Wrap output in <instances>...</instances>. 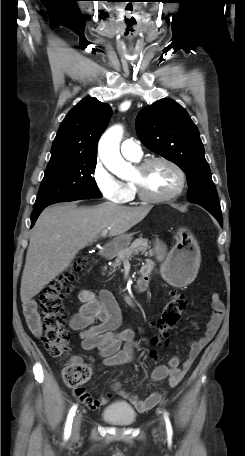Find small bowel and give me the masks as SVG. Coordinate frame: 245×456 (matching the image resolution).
Listing matches in <instances>:
<instances>
[{
	"mask_svg": "<svg viewBox=\"0 0 245 456\" xmlns=\"http://www.w3.org/2000/svg\"><path fill=\"white\" fill-rule=\"evenodd\" d=\"M153 269L149 261L143 269L147 276ZM81 302L79 310L71 317L70 327L79 331V338L85 350H96L103 359L104 366L123 365L130 363L134 358L135 331L124 329L117 331L121 324V311L112 293L106 289L98 294L89 289H82L78 293ZM213 312L207 323L204 334L190 341V351L185 361L180 365V359L173 356L168 365H159L152 372V380L168 379L170 387H176L191 368L197 356L210 342L221 325L224 316V303L217 293L210 296ZM26 322L36 336L41 335V324L34 301L24 305ZM113 390L120 396L127 398L136 409L144 411L154 407L163 397L164 393L157 390L145 399L124 390L119 382L113 384ZM78 399L90 409H97L107 404L111 394L93 398L83 387L74 390Z\"/></svg>",
	"mask_w": 245,
	"mask_h": 456,
	"instance_id": "obj_1",
	"label": "small bowel"
}]
</instances>
